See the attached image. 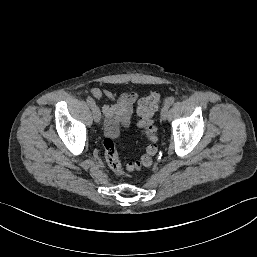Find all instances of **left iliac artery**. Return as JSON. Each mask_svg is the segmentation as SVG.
Returning <instances> with one entry per match:
<instances>
[{
  "label": "left iliac artery",
  "mask_w": 257,
  "mask_h": 257,
  "mask_svg": "<svg viewBox=\"0 0 257 257\" xmlns=\"http://www.w3.org/2000/svg\"><path fill=\"white\" fill-rule=\"evenodd\" d=\"M174 101H175V97H173V96L169 97L166 99L165 105H168L170 107L174 103Z\"/></svg>",
  "instance_id": "left-iliac-artery-1"
}]
</instances>
